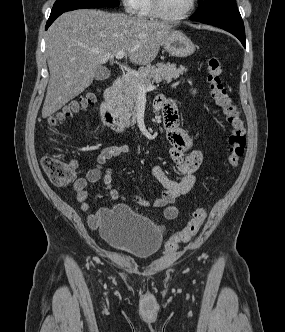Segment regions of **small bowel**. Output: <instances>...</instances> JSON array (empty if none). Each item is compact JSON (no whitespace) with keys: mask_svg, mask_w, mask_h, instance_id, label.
Returning <instances> with one entry per match:
<instances>
[{"mask_svg":"<svg viewBox=\"0 0 285 332\" xmlns=\"http://www.w3.org/2000/svg\"><path fill=\"white\" fill-rule=\"evenodd\" d=\"M154 108L163 114L166 139L170 144L169 156L177 165L181 178L179 181H174L167 176L160 165H154L152 174L162 185L163 191L160 196L151 201L140 198H137L136 201L143 207L163 208L165 218L173 220L179 213L175 201L193 189L196 182L195 173L202 165L203 154L201 151L193 149V138L188 132L180 128L177 109L172 100L158 97L155 100ZM128 152L129 146L125 144L104 147L97 157V166L90 169L84 177H79L74 181L73 189L76 192L80 210L87 211L89 209L87 185L96 183L101 179H103L112 199L126 201L120 191L113 186L112 167L108 165L104 168V166L111 159ZM72 165L76 170L78 169L77 162H72ZM104 214L105 211L101 210L89 215V225L92 228H98Z\"/></svg>","mask_w":285,"mask_h":332,"instance_id":"c3829d8e","label":"small bowel"}]
</instances>
